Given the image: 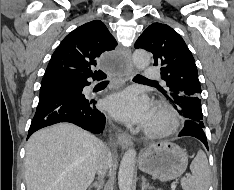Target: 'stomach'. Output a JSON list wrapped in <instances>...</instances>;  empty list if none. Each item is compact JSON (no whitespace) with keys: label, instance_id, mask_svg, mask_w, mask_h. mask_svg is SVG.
I'll return each mask as SVG.
<instances>
[{"label":"stomach","instance_id":"0dacf381","mask_svg":"<svg viewBox=\"0 0 234 190\" xmlns=\"http://www.w3.org/2000/svg\"><path fill=\"white\" fill-rule=\"evenodd\" d=\"M187 165L186 152L180 146L169 141L151 144L139 158L140 170L161 181L179 177L184 173Z\"/></svg>","mask_w":234,"mask_h":190}]
</instances>
